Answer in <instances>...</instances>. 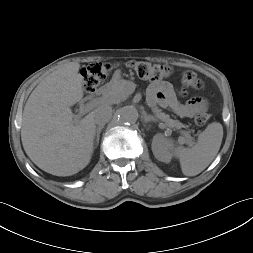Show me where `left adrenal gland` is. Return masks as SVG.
Returning a JSON list of instances; mask_svg holds the SVG:
<instances>
[{"mask_svg":"<svg viewBox=\"0 0 253 253\" xmlns=\"http://www.w3.org/2000/svg\"><path fill=\"white\" fill-rule=\"evenodd\" d=\"M143 120H144V122L147 124L148 122H156L157 120L153 117V116H151V115H147V114H144L143 115Z\"/></svg>","mask_w":253,"mask_h":253,"instance_id":"left-adrenal-gland-1","label":"left adrenal gland"}]
</instances>
